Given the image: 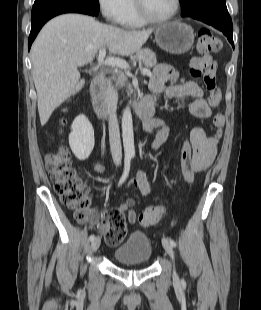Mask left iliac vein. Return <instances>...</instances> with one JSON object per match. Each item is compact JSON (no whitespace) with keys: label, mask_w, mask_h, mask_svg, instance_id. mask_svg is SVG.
Returning <instances> with one entry per match:
<instances>
[{"label":"left iliac vein","mask_w":261,"mask_h":310,"mask_svg":"<svg viewBox=\"0 0 261 310\" xmlns=\"http://www.w3.org/2000/svg\"><path fill=\"white\" fill-rule=\"evenodd\" d=\"M162 245H163L165 251L167 252V254L170 256V258L172 260H174L173 246L170 244L169 239L163 238L162 239ZM173 277H174V279L178 278L177 273H176L175 270L173 271Z\"/></svg>","instance_id":"obj_1"}]
</instances>
